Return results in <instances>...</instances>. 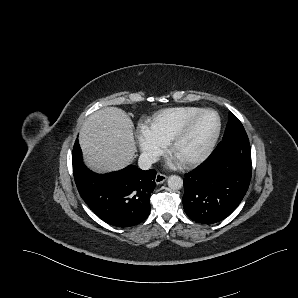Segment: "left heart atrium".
<instances>
[{
	"label": "left heart atrium",
	"mask_w": 298,
	"mask_h": 298,
	"mask_svg": "<svg viewBox=\"0 0 298 298\" xmlns=\"http://www.w3.org/2000/svg\"><path fill=\"white\" fill-rule=\"evenodd\" d=\"M180 163H181V162H179V161H175V160H173V163H171V165H172V164H177V165H178V164H180Z\"/></svg>",
	"instance_id": "obj_1"
}]
</instances>
